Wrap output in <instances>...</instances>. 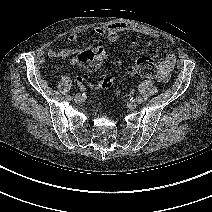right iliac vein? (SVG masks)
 I'll list each match as a JSON object with an SVG mask.
<instances>
[{
	"mask_svg": "<svg viewBox=\"0 0 212 212\" xmlns=\"http://www.w3.org/2000/svg\"><path fill=\"white\" fill-rule=\"evenodd\" d=\"M74 100H75V102H80L82 100V98L79 94H77V95H75Z\"/></svg>",
	"mask_w": 212,
	"mask_h": 212,
	"instance_id": "1",
	"label": "right iliac vein"
}]
</instances>
